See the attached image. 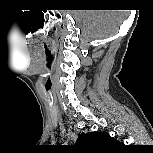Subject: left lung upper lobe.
<instances>
[{"instance_id":"5c2ea615","label":"left lung upper lobe","mask_w":153,"mask_h":153,"mask_svg":"<svg viewBox=\"0 0 153 153\" xmlns=\"http://www.w3.org/2000/svg\"><path fill=\"white\" fill-rule=\"evenodd\" d=\"M76 145L86 149L102 150L119 146L121 143L114 140L107 133L90 132L80 134Z\"/></svg>"}]
</instances>
